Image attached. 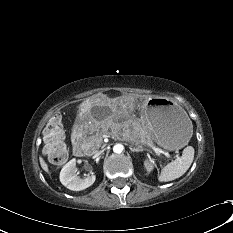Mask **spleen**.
<instances>
[{
  "label": "spleen",
  "instance_id": "obj_1",
  "mask_svg": "<svg viewBox=\"0 0 233 233\" xmlns=\"http://www.w3.org/2000/svg\"><path fill=\"white\" fill-rule=\"evenodd\" d=\"M194 159V148L187 146L180 158L168 163L158 177L160 182H168L181 177L191 166Z\"/></svg>",
  "mask_w": 233,
  "mask_h": 233
}]
</instances>
